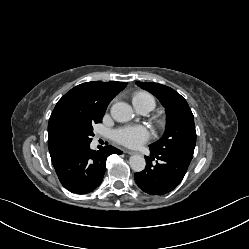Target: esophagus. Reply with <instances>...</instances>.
<instances>
[{"instance_id": "34e87169", "label": "esophagus", "mask_w": 249, "mask_h": 249, "mask_svg": "<svg viewBox=\"0 0 249 249\" xmlns=\"http://www.w3.org/2000/svg\"><path fill=\"white\" fill-rule=\"evenodd\" d=\"M124 152L129 154V155L137 154V152L130 151V150H125Z\"/></svg>"}]
</instances>
